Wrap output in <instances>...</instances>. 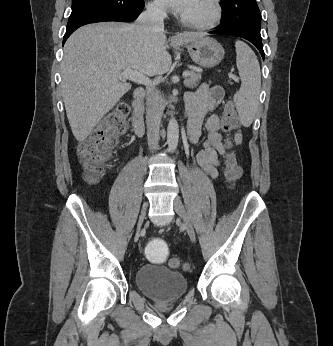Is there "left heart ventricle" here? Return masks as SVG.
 <instances>
[{"instance_id":"obj_1","label":"left heart ventricle","mask_w":333,"mask_h":346,"mask_svg":"<svg viewBox=\"0 0 333 346\" xmlns=\"http://www.w3.org/2000/svg\"><path fill=\"white\" fill-rule=\"evenodd\" d=\"M210 14L211 7L208 0H192L190 6L183 15L199 20H205L210 16Z\"/></svg>"}]
</instances>
